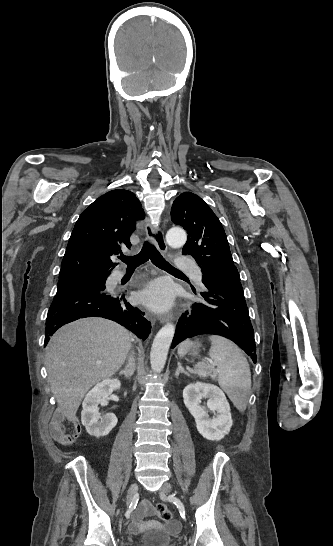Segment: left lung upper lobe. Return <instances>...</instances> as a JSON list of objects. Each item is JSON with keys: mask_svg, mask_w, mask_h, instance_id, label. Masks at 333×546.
I'll return each mask as SVG.
<instances>
[{"mask_svg": "<svg viewBox=\"0 0 333 546\" xmlns=\"http://www.w3.org/2000/svg\"><path fill=\"white\" fill-rule=\"evenodd\" d=\"M171 220L188 232L182 249L214 283H240L225 231L213 211L196 194L182 193L173 202Z\"/></svg>", "mask_w": 333, "mask_h": 546, "instance_id": "1", "label": "left lung upper lobe"}]
</instances>
